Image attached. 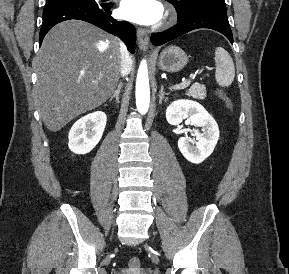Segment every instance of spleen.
Segmentation results:
<instances>
[{
    "instance_id": "3e777b00",
    "label": "spleen",
    "mask_w": 289,
    "mask_h": 274,
    "mask_svg": "<svg viewBox=\"0 0 289 274\" xmlns=\"http://www.w3.org/2000/svg\"><path fill=\"white\" fill-rule=\"evenodd\" d=\"M215 79L218 85L228 87L235 77V67L230 54L222 47L215 50Z\"/></svg>"
}]
</instances>
